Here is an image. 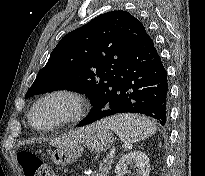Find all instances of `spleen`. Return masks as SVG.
I'll return each instance as SVG.
<instances>
[{
    "label": "spleen",
    "instance_id": "1",
    "mask_svg": "<svg viewBox=\"0 0 205 176\" xmlns=\"http://www.w3.org/2000/svg\"><path fill=\"white\" fill-rule=\"evenodd\" d=\"M110 128L124 143H135L155 134L153 122L142 115L118 114L97 123Z\"/></svg>",
    "mask_w": 205,
    "mask_h": 176
}]
</instances>
